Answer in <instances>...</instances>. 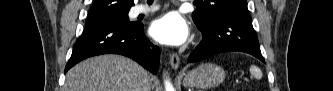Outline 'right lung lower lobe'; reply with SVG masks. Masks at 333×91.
<instances>
[{
    "mask_svg": "<svg viewBox=\"0 0 333 91\" xmlns=\"http://www.w3.org/2000/svg\"><path fill=\"white\" fill-rule=\"evenodd\" d=\"M101 54L130 57L153 74L159 68L160 50L145 37L142 23L88 21L74 46L65 73L81 60Z\"/></svg>",
    "mask_w": 333,
    "mask_h": 91,
    "instance_id": "obj_1",
    "label": "right lung lower lobe"
}]
</instances>
